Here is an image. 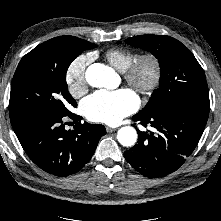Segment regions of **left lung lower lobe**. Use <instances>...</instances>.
Wrapping results in <instances>:
<instances>
[{
	"mask_svg": "<svg viewBox=\"0 0 221 221\" xmlns=\"http://www.w3.org/2000/svg\"><path fill=\"white\" fill-rule=\"evenodd\" d=\"M210 104L198 100L172 103L153 113L132 117L153 131L138 132V141L124 152L127 162L146 177L158 178L176 171L191 155L204 131Z\"/></svg>",
	"mask_w": 221,
	"mask_h": 221,
	"instance_id": "left-lung-lower-lobe-1",
	"label": "left lung lower lobe"
}]
</instances>
